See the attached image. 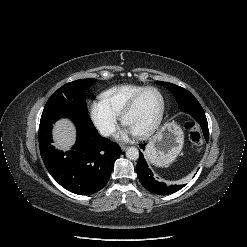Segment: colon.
Wrapping results in <instances>:
<instances>
[{
	"instance_id": "1",
	"label": "colon",
	"mask_w": 247,
	"mask_h": 247,
	"mask_svg": "<svg viewBox=\"0 0 247 247\" xmlns=\"http://www.w3.org/2000/svg\"><path fill=\"white\" fill-rule=\"evenodd\" d=\"M185 127L188 130L190 140L200 149L204 142V133L201 128L192 120H188L185 123Z\"/></svg>"
}]
</instances>
